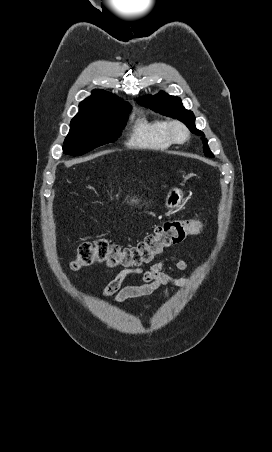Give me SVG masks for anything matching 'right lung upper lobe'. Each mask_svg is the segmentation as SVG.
Segmentation results:
<instances>
[{
  "label": "right lung upper lobe",
  "instance_id": "right-lung-upper-lobe-1",
  "mask_svg": "<svg viewBox=\"0 0 272 452\" xmlns=\"http://www.w3.org/2000/svg\"><path fill=\"white\" fill-rule=\"evenodd\" d=\"M124 104L128 103L111 93L104 90H94L89 98H86L79 104V112L72 121L97 116L104 111Z\"/></svg>",
  "mask_w": 272,
  "mask_h": 452
}]
</instances>
